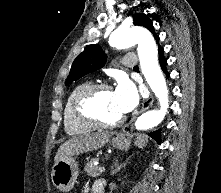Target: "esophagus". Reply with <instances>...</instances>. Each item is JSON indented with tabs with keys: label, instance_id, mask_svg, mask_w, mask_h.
<instances>
[{
	"label": "esophagus",
	"instance_id": "1",
	"mask_svg": "<svg viewBox=\"0 0 221 193\" xmlns=\"http://www.w3.org/2000/svg\"><path fill=\"white\" fill-rule=\"evenodd\" d=\"M153 101H154L153 95L150 94V96L143 102L142 107H141V109H140V111L138 112L137 115L143 113V112L146 111L149 107H151L152 104H153ZM136 117H137V116L133 117V119L130 121V123H129L128 125H126V126L122 129L123 132L127 131V130L129 129V127H131V126L133 125V122L135 121Z\"/></svg>",
	"mask_w": 221,
	"mask_h": 193
}]
</instances>
